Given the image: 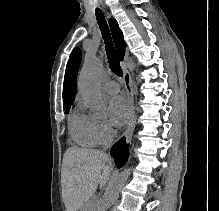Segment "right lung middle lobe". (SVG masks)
<instances>
[{"mask_svg": "<svg viewBox=\"0 0 219 211\" xmlns=\"http://www.w3.org/2000/svg\"><path fill=\"white\" fill-rule=\"evenodd\" d=\"M71 105H72V104H68V105H64V106H63L66 113L69 112Z\"/></svg>", "mask_w": 219, "mask_h": 211, "instance_id": "dd1d6c3e", "label": "right lung middle lobe"}]
</instances>
